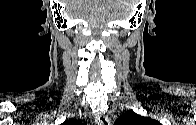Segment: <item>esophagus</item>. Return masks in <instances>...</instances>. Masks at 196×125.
<instances>
[{
	"label": "esophagus",
	"instance_id": "obj_1",
	"mask_svg": "<svg viewBox=\"0 0 196 125\" xmlns=\"http://www.w3.org/2000/svg\"><path fill=\"white\" fill-rule=\"evenodd\" d=\"M97 125H110L108 118L105 115H100L96 118Z\"/></svg>",
	"mask_w": 196,
	"mask_h": 125
}]
</instances>
